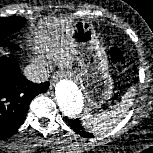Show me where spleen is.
Here are the masks:
<instances>
[{"label":"spleen","mask_w":153,"mask_h":153,"mask_svg":"<svg viewBox=\"0 0 153 153\" xmlns=\"http://www.w3.org/2000/svg\"><path fill=\"white\" fill-rule=\"evenodd\" d=\"M134 91V87H131L130 91L123 95L121 102L117 103L112 110L97 115H91L88 111H85L82 116L84 128L96 134H103L116 126L126 116L129 107L132 106L135 96Z\"/></svg>","instance_id":"obj_1"}]
</instances>
